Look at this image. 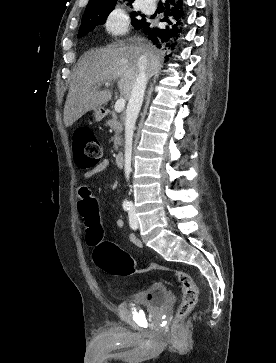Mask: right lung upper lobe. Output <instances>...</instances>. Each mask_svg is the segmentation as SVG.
Returning a JSON list of instances; mask_svg holds the SVG:
<instances>
[{"label":"right lung upper lobe","mask_w":276,"mask_h":363,"mask_svg":"<svg viewBox=\"0 0 276 363\" xmlns=\"http://www.w3.org/2000/svg\"><path fill=\"white\" fill-rule=\"evenodd\" d=\"M127 1L129 3H132L134 0H127ZM111 2H117V0H90L87 7L91 6V5H97V4H102V3H111Z\"/></svg>","instance_id":"1"}]
</instances>
